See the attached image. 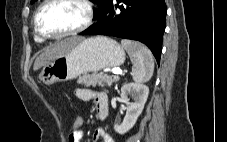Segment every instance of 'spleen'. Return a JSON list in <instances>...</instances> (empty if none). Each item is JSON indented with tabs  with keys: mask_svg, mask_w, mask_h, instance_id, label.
<instances>
[{
	"mask_svg": "<svg viewBox=\"0 0 227 142\" xmlns=\"http://www.w3.org/2000/svg\"><path fill=\"white\" fill-rule=\"evenodd\" d=\"M121 44L133 64V80L137 83L149 81L154 72V58L151 51L143 44L131 40L123 39Z\"/></svg>",
	"mask_w": 227,
	"mask_h": 142,
	"instance_id": "obj_1",
	"label": "spleen"
}]
</instances>
